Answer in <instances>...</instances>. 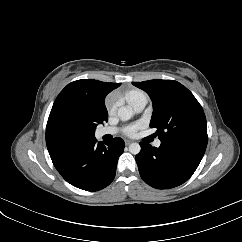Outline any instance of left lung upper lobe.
Instances as JSON below:
<instances>
[{
  "instance_id": "5c2ea615",
  "label": "left lung upper lobe",
  "mask_w": 242,
  "mask_h": 242,
  "mask_svg": "<svg viewBox=\"0 0 242 242\" xmlns=\"http://www.w3.org/2000/svg\"><path fill=\"white\" fill-rule=\"evenodd\" d=\"M153 102L151 128L161 143L206 149L208 136L204 111L194 95L174 80L132 82Z\"/></svg>"
}]
</instances>
